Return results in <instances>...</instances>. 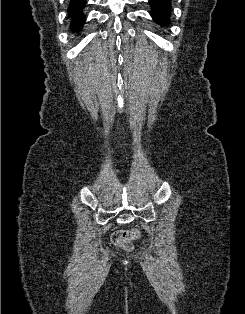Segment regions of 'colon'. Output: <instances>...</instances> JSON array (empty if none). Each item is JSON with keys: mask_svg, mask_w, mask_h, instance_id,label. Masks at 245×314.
I'll return each instance as SVG.
<instances>
[{"mask_svg": "<svg viewBox=\"0 0 245 314\" xmlns=\"http://www.w3.org/2000/svg\"><path fill=\"white\" fill-rule=\"evenodd\" d=\"M141 234L139 230L132 229L128 231H118L112 235V242L114 245L123 248V249H131L132 244L135 240L140 238Z\"/></svg>", "mask_w": 245, "mask_h": 314, "instance_id": "obj_1", "label": "colon"}]
</instances>
